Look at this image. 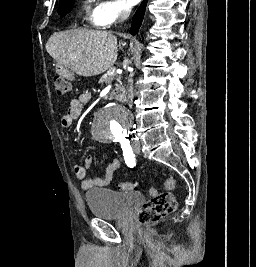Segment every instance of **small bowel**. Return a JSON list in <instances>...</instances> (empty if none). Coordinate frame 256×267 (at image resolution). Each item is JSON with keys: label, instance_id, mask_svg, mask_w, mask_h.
I'll return each instance as SVG.
<instances>
[{"label": "small bowel", "instance_id": "obj_1", "mask_svg": "<svg viewBox=\"0 0 256 267\" xmlns=\"http://www.w3.org/2000/svg\"><path fill=\"white\" fill-rule=\"evenodd\" d=\"M91 100V94L89 92L81 93L78 98L71 100L70 105L66 113L61 118V125L63 127H69L72 123L81 115L83 106ZM92 165L91 156L87 155L84 159V165H74L73 172L75 176L81 180L82 188L90 189L95 186L104 187L107 186L116 171L120 167L119 159H113L106 167L104 174L99 178H89L87 176L88 170Z\"/></svg>", "mask_w": 256, "mask_h": 267}]
</instances>
